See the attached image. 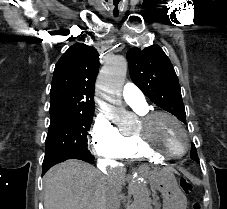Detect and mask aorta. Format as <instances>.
Returning a JSON list of instances; mask_svg holds the SVG:
<instances>
[{"instance_id":"1","label":"aorta","mask_w":227,"mask_h":209,"mask_svg":"<svg viewBox=\"0 0 227 209\" xmlns=\"http://www.w3.org/2000/svg\"><path fill=\"white\" fill-rule=\"evenodd\" d=\"M127 73V61L122 56L109 57L97 79L99 105L108 117L124 114L121 92ZM133 196L131 209H149V193L139 173L135 172L129 183Z\"/></svg>"}]
</instances>
